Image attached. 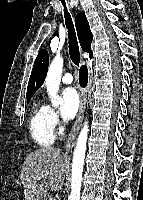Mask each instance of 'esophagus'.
Returning <instances> with one entry per match:
<instances>
[{"mask_svg":"<svg viewBox=\"0 0 143 200\" xmlns=\"http://www.w3.org/2000/svg\"><path fill=\"white\" fill-rule=\"evenodd\" d=\"M81 63L84 64L83 53H82V57H81ZM79 94H80V107H79V111H78V115H77V118L75 120V123H74L72 130H71V132L68 136V139L66 141L65 155H67L70 152L72 141L76 137V134H77L78 130L80 129V126H81V123H82V120H83V117H84V111H85V107H86L85 90L83 88H81L79 90Z\"/></svg>","mask_w":143,"mask_h":200,"instance_id":"obj_1","label":"esophagus"}]
</instances>
